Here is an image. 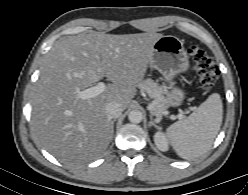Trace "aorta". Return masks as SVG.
I'll return each mask as SVG.
<instances>
[{
  "mask_svg": "<svg viewBox=\"0 0 248 195\" xmlns=\"http://www.w3.org/2000/svg\"><path fill=\"white\" fill-rule=\"evenodd\" d=\"M143 115L139 110H132L128 114V119L131 123H140L142 121Z\"/></svg>",
  "mask_w": 248,
  "mask_h": 195,
  "instance_id": "762f6f07",
  "label": "aorta"
}]
</instances>
